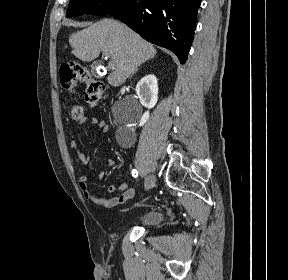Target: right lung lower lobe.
I'll use <instances>...</instances> for the list:
<instances>
[{
    "instance_id": "right-lung-lower-lobe-1",
    "label": "right lung lower lobe",
    "mask_w": 288,
    "mask_h": 280,
    "mask_svg": "<svg viewBox=\"0 0 288 280\" xmlns=\"http://www.w3.org/2000/svg\"><path fill=\"white\" fill-rule=\"evenodd\" d=\"M200 0H126L108 11L144 39L187 60ZM105 14V15H106Z\"/></svg>"
}]
</instances>
